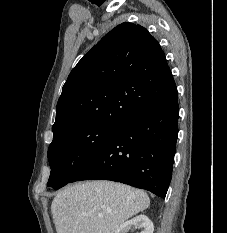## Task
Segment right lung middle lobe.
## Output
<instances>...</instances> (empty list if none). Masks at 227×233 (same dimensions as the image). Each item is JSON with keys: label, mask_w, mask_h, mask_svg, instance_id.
<instances>
[{"label": "right lung middle lobe", "mask_w": 227, "mask_h": 233, "mask_svg": "<svg viewBox=\"0 0 227 233\" xmlns=\"http://www.w3.org/2000/svg\"><path fill=\"white\" fill-rule=\"evenodd\" d=\"M119 126L84 125L54 136L48 149L51 174L47 186L57 190L68 184L105 145Z\"/></svg>", "instance_id": "1"}]
</instances>
